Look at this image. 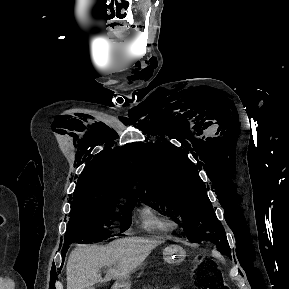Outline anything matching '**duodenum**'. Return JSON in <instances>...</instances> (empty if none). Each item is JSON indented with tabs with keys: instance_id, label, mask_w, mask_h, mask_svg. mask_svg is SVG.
Listing matches in <instances>:
<instances>
[{
	"instance_id": "1",
	"label": "duodenum",
	"mask_w": 289,
	"mask_h": 289,
	"mask_svg": "<svg viewBox=\"0 0 289 289\" xmlns=\"http://www.w3.org/2000/svg\"><path fill=\"white\" fill-rule=\"evenodd\" d=\"M114 289H119V287H115Z\"/></svg>"
}]
</instances>
